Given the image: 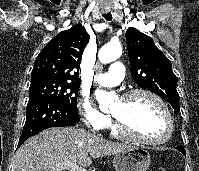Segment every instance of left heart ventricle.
I'll return each instance as SVG.
<instances>
[{
  "label": "left heart ventricle",
  "instance_id": "obj_1",
  "mask_svg": "<svg viewBox=\"0 0 199 171\" xmlns=\"http://www.w3.org/2000/svg\"><path fill=\"white\" fill-rule=\"evenodd\" d=\"M111 114L121 117L131 130L150 139H161L167 134V119L161 107L146 95H137L127 101L121 99Z\"/></svg>",
  "mask_w": 199,
  "mask_h": 171
}]
</instances>
